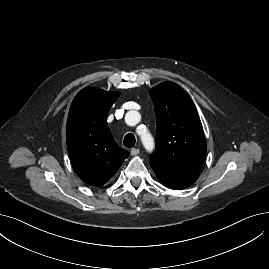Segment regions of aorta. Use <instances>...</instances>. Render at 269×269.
<instances>
[{
    "mask_svg": "<svg viewBox=\"0 0 269 269\" xmlns=\"http://www.w3.org/2000/svg\"><path fill=\"white\" fill-rule=\"evenodd\" d=\"M128 116H133L134 118H137V119H139V117H140L139 113L135 112V111L128 113ZM140 137H141V141H142L144 148L148 152H152L155 148V144H154V139L151 136V134L146 131V132L140 134Z\"/></svg>",
    "mask_w": 269,
    "mask_h": 269,
    "instance_id": "1",
    "label": "aorta"
}]
</instances>
